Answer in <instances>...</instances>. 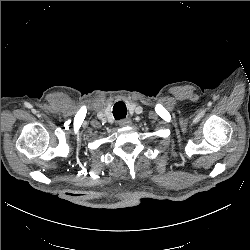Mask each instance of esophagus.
<instances>
[{"label": "esophagus", "mask_w": 250, "mask_h": 250, "mask_svg": "<svg viewBox=\"0 0 250 250\" xmlns=\"http://www.w3.org/2000/svg\"><path fill=\"white\" fill-rule=\"evenodd\" d=\"M130 124H131V120H130L129 118H127V119H122V120L119 121V125H120L121 127H125V126H128V125H130Z\"/></svg>", "instance_id": "esophagus-1"}]
</instances>
